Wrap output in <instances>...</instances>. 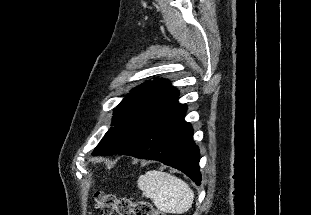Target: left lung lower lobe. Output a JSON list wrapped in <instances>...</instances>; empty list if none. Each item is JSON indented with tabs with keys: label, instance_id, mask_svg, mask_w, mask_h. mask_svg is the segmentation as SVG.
Segmentation results:
<instances>
[{
	"label": "left lung lower lobe",
	"instance_id": "obj_1",
	"mask_svg": "<svg viewBox=\"0 0 311 215\" xmlns=\"http://www.w3.org/2000/svg\"><path fill=\"white\" fill-rule=\"evenodd\" d=\"M187 107L172 100L154 115L119 154L157 160L172 166L201 184L199 148L193 142V130L184 116Z\"/></svg>",
	"mask_w": 311,
	"mask_h": 215
}]
</instances>
